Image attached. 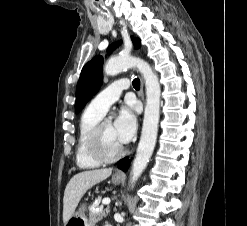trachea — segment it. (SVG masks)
Segmentation results:
<instances>
[{"label": "trachea", "instance_id": "obj_1", "mask_svg": "<svg viewBox=\"0 0 247 226\" xmlns=\"http://www.w3.org/2000/svg\"><path fill=\"white\" fill-rule=\"evenodd\" d=\"M132 84L136 90L140 89V80L138 78H134Z\"/></svg>", "mask_w": 247, "mask_h": 226}]
</instances>
